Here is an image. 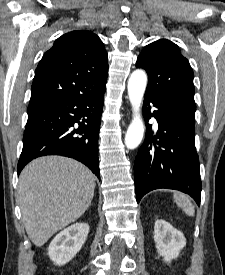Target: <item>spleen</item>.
Wrapping results in <instances>:
<instances>
[{
    "instance_id": "obj_1",
    "label": "spleen",
    "mask_w": 225,
    "mask_h": 275,
    "mask_svg": "<svg viewBox=\"0 0 225 275\" xmlns=\"http://www.w3.org/2000/svg\"><path fill=\"white\" fill-rule=\"evenodd\" d=\"M174 202L181 208L188 216H194L195 210L191 201L187 196L181 193H174Z\"/></svg>"
}]
</instances>
